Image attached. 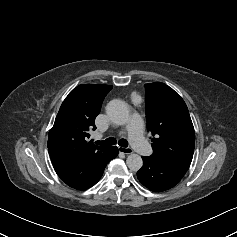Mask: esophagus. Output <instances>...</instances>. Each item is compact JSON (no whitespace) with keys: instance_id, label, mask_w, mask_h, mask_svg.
I'll return each mask as SVG.
<instances>
[{"instance_id":"34e87169","label":"esophagus","mask_w":237,"mask_h":237,"mask_svg":"<svg viewBox=\"0 0 237 237\" xmlns=\"http://www.w3.org/2000/svg\"><path fill=\"white\" fill-rule=\"evenodd\" d=\"M119 152L129 155L133 153V150L131 148L128 147H118Z\"/></svg>"}]
</instances>
